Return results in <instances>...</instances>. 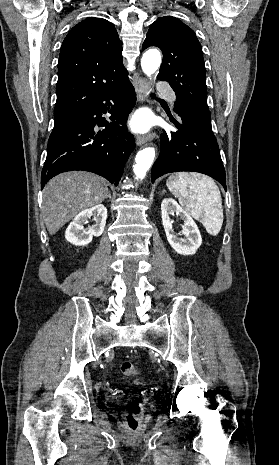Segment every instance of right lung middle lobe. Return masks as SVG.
Instances as JSON below:
<instances>
[{
    "mask_svg": "<svg viewBox=\"0 0 279 465\" xmlns=\"http://www.w3.org/2000/svg\"><path fill=\"white\" fill-rule=\"evenodd\" d=\"M65 124L54 125L53 131L49 137L48 145L51 144L57 137V135L65 128Z\"/></svg>",
    "mask_w": 279,
    "mask_h": 465,
    "instance_id": "dd1d6c3e",
    "label": "right lung middle lobe"
}]
</instances>
